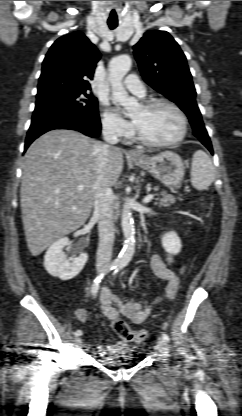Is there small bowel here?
<instances>
[{"label":"small bowel","instance_id":"1","mask_svg":"<svg viewBox=\"0 0 242 416\" xmlns=\"http://www.w3.org/2000/svg\"><path fill=\"white\" fill-rule=\"evenodd\" d=\"M173 262L174 259L171 255L161 256L155 254L150 260L153 273L167 282L165 293L159 300H170L176 295L179 285V274L173 270ZM99 299L101 310L109 320L122 317L134 324H140L145 321L150 313V307L144 306L138 301H123L113 294L108 287H103L100 290ZM75 315L79 322L87 321V311L84 308H78ZM122 348H124V343L117 342L109 346L98 345L96 351L101 355H108Z\"/></svg>","mask_w":242,"mask_h":416}]
</instances>
